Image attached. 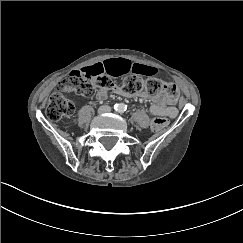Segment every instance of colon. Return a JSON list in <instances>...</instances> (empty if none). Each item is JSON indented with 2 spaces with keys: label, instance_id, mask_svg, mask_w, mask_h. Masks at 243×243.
Here are the masks:
<instances>
[{
  "label": "colon",
  "instance_id": "colon-1",
  "mask_svg": "<svg viewBox=\"0 0 243 243\" xmlns=\"http://www.w3.org/2000/svg\"><path fill=\"white\" fill-rule=\"evenodd\" d=\"M61 91L54 92L46 108V115L50 120L56 121L63 117L71 116L75 112L74 101L68 99L65 93L76 92L85 97H91L96 93H107L112 90H120L128 96L146 94L151 97L163 95L169 101H176L179 90L175 84L163 82L157 78H140L130 76L121 84H115L103 73L87 74L81 71H73L60 81ZM169 121L163 117H155L151 121V128L159 130L168 125Z\"/></svg>",
  "mask_w": 243,
  "mask_h": 243
}]
</instances>
